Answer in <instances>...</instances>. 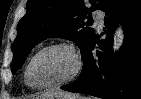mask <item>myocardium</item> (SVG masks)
I'll list each match as a JSON object with an SVG mask.
<instances>
[{
  "instance_id": "f54148a6",
  "label": "myocardium",
  "mask_w": 141,
  "mask_h": 99,
  "mask_svg": "<svg viewBox=\"0 0 141 99\" xmlns=\"http://www.w3.org/2000/svg\"><path fill=\"white\" fill-rule=\"evenodd\" d=\"M55 48H64V49L69 50L72 53L74 57V61H75V68L73 72L67 78L61 81H58L52 84H47V85H35L30 79V69H31L33 62L43 52L50 50V49H55ZM82 68H83V60H82L79 50L77 49V47L74 44L70 42H65V41L55 42V43L44 46L43 48L38 50L32 56V58L28 62L27 67L25 69V81L30 87L37 89V90L53 89V88L64 86L74 81L80 75Z\"/></svg>"
}]
</instances>
